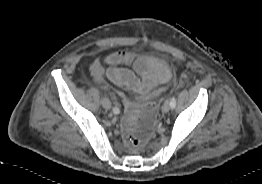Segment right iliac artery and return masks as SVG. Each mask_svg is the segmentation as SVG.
I'll return each mask as SVG.
<instances>
[{"mask_svg": "<svg viewBox=\"0 0 262 184\" xmlns=\"http://www.w3.org/2000/svg\"><path fill=\"white\" fill-rule=\"evenodd\" d=\"M119 112H120L119 108H117V107L113 108V113L114 114H119Z\"/></svg>", "mask_w": 262, "mask_h": 184, "instance_id": "obj_1", "label": "right iliac artery"}]
</instances>
